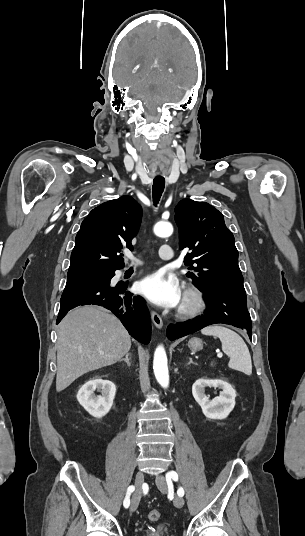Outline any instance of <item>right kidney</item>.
I'll list each match as a JSON object with an SVG mask.
<instances>
[{
  "instance_id": "1",
  "label": "right kidney",
  "mask_w": 305,
  "mask_h": 536,
  "mask_svg": "<svg viewBox=\"0 0 305 536\" xmlns=\"http://www.w3.org/2000/svg\"><path fill=\"white\" fill-rule=\"evenodd\" d=\"M102 378L103 376L90 378L77 394L79 404L94 418H102L108 414L116 394L115 384ZM95 390L100 392L101 396H95Z\"/></svg>"
}]
</instances>
